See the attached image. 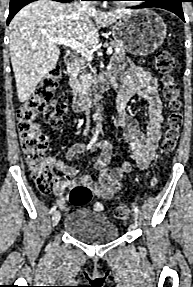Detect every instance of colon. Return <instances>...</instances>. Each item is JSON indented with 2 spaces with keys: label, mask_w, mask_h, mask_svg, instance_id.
I'll use <instances>...</instances> for the list:
<instances>
[{
  "label": "colon",
  "mask_w": 193,
  "mask_h": 287,
  "mask_svg": "<svg viewBox=\"0 0 193 287\" xmlns=\"http://www.w3.org/2000/svg\"><path fill=\"white\" fill-rule=\"evenodd\" d=\"M156 69L161 74L162 94L167 101L169 115L167 129L160 145L162 154H171L177 145L183 117L181 112L180 90L172 73L175 61L170 52L161 50L156 55ZM63 77L59 66L52 67L41 79L32 96L19 108L18 128L21 147L25 154L32 179L39 192L50 193L56 184V175L47 161V137L39 130L36 119L39 115L47 117L51 125L60 128L64 123V116L73 99L71 92H65L54 99V90ZM156 180L152 181V186ZM92 191L87 186H74L69 193V201L74 206L88 203L92 198ZM130 210L127 206H117L114 216L119 220H126Z\"/></svg>",
  "instance_id": "5ec220e1"
}]
</instances>
